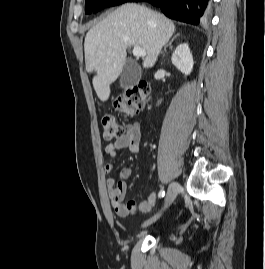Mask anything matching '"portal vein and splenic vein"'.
Here are the masks:
<instances>
[{
    "instance_id": "1",
    "label": "portal vein and splenic vein",
    "mask_w": 265,
    "mask_h": 269,
    "mask_svg": "<svg viewBox=\"0 0 265 269\" xmlns=\"http://www.w3.org/2000/svg\"><path fill=\"white\" fill-rule=\"evenodd\" d=\"M132 52H133V55L136 57H145L146 56V51L140 47H134Z\"/></svg>"
}]
</instances>
